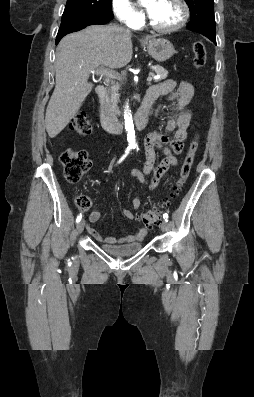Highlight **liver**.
<instances>
[{"instance_id": "obj_1", "label": "liver", "mask_w": 254, "mask_h": 397, "mask_svg": "<svg viewBox=\"0 0 254 397\" xmlns=\"http://www.w3.org/2000/svg\"><path fill=\"white\" fill-rule=\"evenodd\" d=\"M132 59V36L114 25H92L65 36L59 43L55 62V89L48 103L45 125L56 137L77 114L91 92V73L104 65L120 69Z\"/></svg>"}]
</instances>
